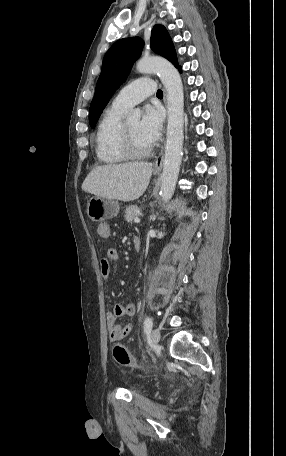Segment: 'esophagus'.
Masks as SVG:
<instances>
[{
  "label": "esophagus",
  "instance_id": "esophagus-1",
  "mask_svg": "<svg viewBox=\"0 0 286 456\" xmlns=\"http://www.w3.org/2000/svg\"><path fill=\"white\" fill-rule=\"evenodd\" d=\"M167 96L164 94V101L166 103ZM163 159H164V148L161 149L155 163H154V170L155 171H160L162 169V164H163Z\"/></svg>",
  "mask_w": 286,
  "mask_h": 456
}]
</instances>
